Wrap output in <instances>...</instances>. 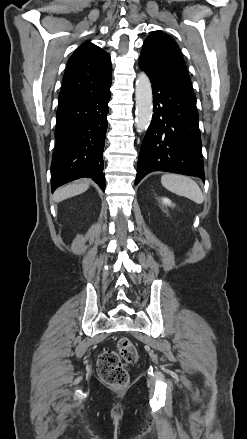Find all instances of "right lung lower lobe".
Masks as SVG:
<instances>
[{
    "label": "right lung lower lobe",
    "mask_w": 247,
    "mask_h": 439,
    "mask_svg": "<svg viewBox=\"0 0 247 439\" xmlns=\"http://www.w3.org/2000/svg\"><path fill=\"white\" fill-rule=\"evenodd\" d=\"M110 85L59 103L51 164L52 191L82 177H91L104 191L103 149Z\"/></svg>",
    "instance_id": "right-lung-lower-lobe-1"
}]
</instances>
